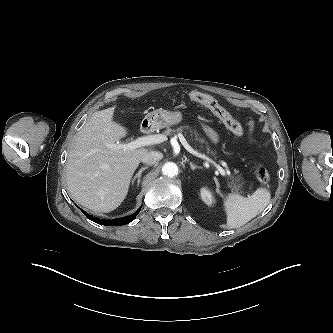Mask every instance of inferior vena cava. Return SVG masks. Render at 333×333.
I'll list each match as a JSON object with an SVG mask.
<instances>
[{"label":"inferior vena cava","mask_w":333,"mask_h":333,"mask_svg":"<svg viewBox=\"0 0 333 333\" xmlns=\"http://www.w3.org/2000/svg\"><path fill=\"white\" fill-rule=\"evenodd\" d=\"M163 158V154L157 151H150L141 157V161L148 165H153Z\"/></svg>","instance_id":"inferior-vena-cava-1"}]
</instances>
